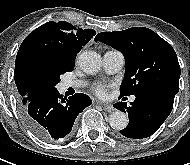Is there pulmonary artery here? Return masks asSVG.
I'll use <instances>...</instances> for the list:
<instances>
[{"mask_svg":"<svg viewBox=\"0 0 190 165\" xmlns=\"http://www.w3.org/2000/svg\"><path fill=\"white\" fill-rule=\"evenodd\" d=\"M125 63L124 55L118 50H108L103 55V67L108 74H115L119 72ZM66 87L80 88L85 86L82 80H67ZM135 96H131L130 101L133 102Z\"/></svg>","mask_w":190,"mask_h":165,"instance_id":"obj_1","label":"pulmonary artery"}]
</instances>
